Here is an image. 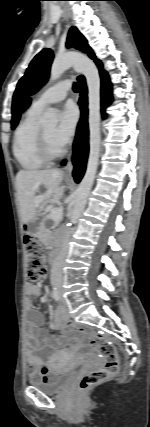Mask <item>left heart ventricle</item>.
I'll return each instance as SVG.
<instances>
[{
    "instance_id": "left-heart-ventricle-1",
    "label": "left heart ventricle",
    "mask_w": 150,
    "mask_h": 427,
    "mask_svg": "<svg viewBox=\"0 0 150 427\" xmlns=\"http://www.w3.org/2000/svg\"><path fill=\"white\" fill-rule=\"evenodd\" d=\"M42 129L45 133V136L48 140V143H49L51 149L55 152L62 149L55 141L54 136H55L56 127L55 126H47V127L42 128Z\"/></svg>"
}]
</instances>
